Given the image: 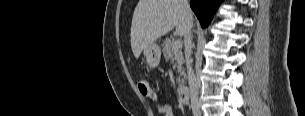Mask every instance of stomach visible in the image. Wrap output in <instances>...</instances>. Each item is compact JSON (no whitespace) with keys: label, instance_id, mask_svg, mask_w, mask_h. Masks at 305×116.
Returning <instances> with one entry per match:
<instances>
[{"label":"stomach","instance_id":"0dacf381","mask_svg":"<svg viewBox=\"0 0 305 116\" xmlns=\"http://www.w3.org/2000/svg\"><path fill=\"white\" fill-rule=\"evenodd\" d=\"M143 53L146 57V62L151 68H156L160 63L161 49L156 43H150L143 49Z\"/></svg>","mask_w":305,"mask_h":116}]
</instances>
